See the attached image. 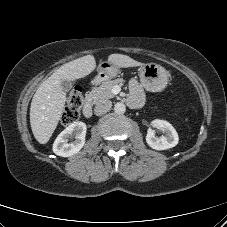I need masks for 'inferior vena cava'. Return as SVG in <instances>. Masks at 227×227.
<instances>
[{
    "instance_id": "obj_1",
    "label": "inferior vena cava",
    "mask_w": 227,
    "mask_h": 227,
    "mask_svg": "<svg viewBox=\"0 0 227 227\" xmlns=\"http://www.w3.org/2000/svg\"><path fill=\"white\" fill-rule=\"evenodd\" d=\"M111 107H112L111 101H109V100L100 101L95 105L94 113L97 116L103 115V114L109 112L111 110Z\"/></svg>"
}]
</instances>
